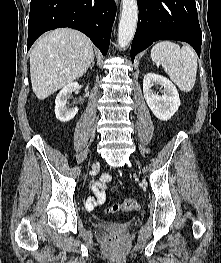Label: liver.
I'll return each instance as SVG.
<instances>
[{"label":"liver","instance_id":"6515ba94","mask_svg":"<svg viewBox=\"0 0 221 263\" xmlns=\"http://www.w3.org/2000/svg\"><path fill=\"white\" fill-rule=\"evenodd\" d=\"M94 60L93 44L83 33L69 28L41 37L30 53L33 92L44 100L82 77Z\"/></svg>","mask_w":221,"mask_h":263}]
</instances>
